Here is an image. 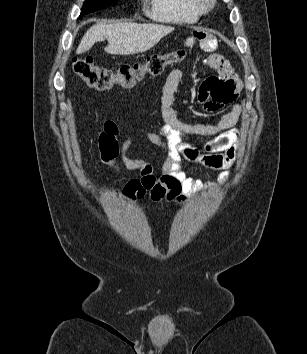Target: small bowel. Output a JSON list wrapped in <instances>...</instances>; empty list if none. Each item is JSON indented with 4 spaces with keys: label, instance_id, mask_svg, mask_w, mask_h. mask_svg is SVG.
Instances as JSON below:
<instances>
[{
    "label": "small bowel",
    "instance_id": "c3829d8e",
    "mask_svg": "<svg viewBox=\"0 0 307 354\" xmlns=\"http://www.w3.org/2000/svg\"><path fill=\"white\" fill-rule=\"evenodd\" d=\"M195 40L203 49L213 51L217 40L203 31H195ZM206 65L218 71L219 76L207 78L199 88V99L204 109L211 114L236 100L239 82L234 76L229 62L220 54L212 53L206 59ZM182 77L179 68L173 69L167 76L162 88L161 115L163 124L157 131L147 132V139L166 152V159L159 177L155 175L151 164L141 159L128 156L133 139L117 141L118 126L114 121H105L99 136V148L102 161L118 168V160L131 171H139L140 178L128 181L120 190L128 201L149 196L155 202L183 201L186 196L203 188L212 186L187 176L182 160L197 163L205 168L221 170L218 182L226 183L230 177V167L234 164L238 149L236 125L242 108L233 105L216 123L189 124L181 121L173 107L176 93ZM187 136L206 137L208 140L202 148L192 146L184 141ZM114 143L115 145H112Z\"/></svg>",
    "mask_w": 307,
    "mask_h": 354
}]
</instances>
